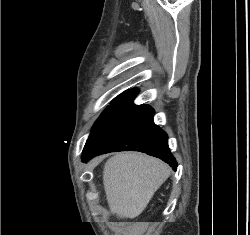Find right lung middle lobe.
Masks as SVG:
<instances>
[{
    "label": "right lung middle lobe",
    "mask_w": 250,
    "mask_h": 235,
    "mask_svg": "<svg viewBox=\"0 0 250 235\" xmlns=\"http://www.w3.org/2000/svg\"><path fill=\"white\" fill-rule=\"evenodd\" d=\"M129 98H116L111 102V105L106 108V110L102 113L99 119L93 126V130H95L100 124H102L108 117H110L120 106L129 101Z\"/></svg>",
    "instance_id": "obj_1"
}]
</instances>
